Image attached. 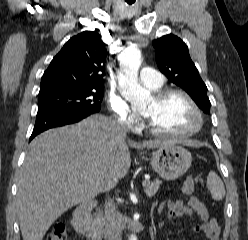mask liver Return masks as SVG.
Listing matches in <instances>:
<instances>
[{
	"instance_id": "6515ba94",
	"label": "liver",
	"mask_w": 248,
	"mask_h": 240,
	"mask_svg": "<svg viewBox=\"0 0 248 240\" xmlns=\"http://www.w3.org/2000/svg\"><path fill=\"white\" fill-rule=\"evenodd\" d=\"M170 141H126L103 115L38 135L20 169L17 212L23 240H42L49 227L71 207L90 202L128 173L129 146L160 148Z\"/></svg>"
}]
</instances>
